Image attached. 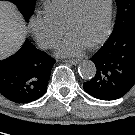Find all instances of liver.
Returning <instances> with one entry per match:
<instances>
[{"label": "liver", "instance_id": "liver-1", "mask_svg": "<svg viewBox=\"0 0 135 135\" xmlns=\"http://www.w3.org/2000/svg\"><path fill=\"white\" fill-rule=\"evenodd\" d=\"M26 26L16 6L0 1V60L14 54L24 42Z\"/></svg>", "mask_w": 135, "mask_h": 135}]
</instances>
